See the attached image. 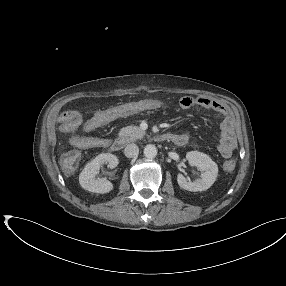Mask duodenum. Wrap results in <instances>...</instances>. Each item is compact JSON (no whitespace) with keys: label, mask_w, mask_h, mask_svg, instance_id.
I'll use <instances>...</instances> for the list:
<instances>
[{"label":"duodenum","mask_w":286,"mask_h":286,"mask_svg":"<svg viewBox=\"0 0 286 286\" xmlns=\"http://www.w3.org/2000/svg\"><path fill=\"white\" fill-rule=\"evenodd\" d=\"M156 138L160 140H169L177 146H184L186 144V140L184 137L178 136L172 133L161 134V135H158ZM124 144L125 142L123 139L117 138V139L110 141L109 145L112 151L119 152L123 148Z\"/></svg>","instance_id":"410a0bca"}]
</instances>
